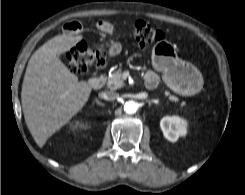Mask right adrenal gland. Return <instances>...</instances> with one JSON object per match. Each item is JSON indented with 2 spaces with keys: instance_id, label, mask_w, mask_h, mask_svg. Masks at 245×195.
<instances>
[{
  "instance_id": "right-adrenal-gland-1",
  "label": "right adrenal gland",
  "mask_w": 245,
  "mask_h": 195,
  "mask_svg": "<svg viewBox=\"0 0 245 195\" xmlns=\"http://www.w3.org/2000/svg\"><path fill=\"white\" fill-rule=\"evenodd\" d=\"M96 103L100 106H104L102 103H100L98 100H96Z\"/></svg>"
}]
</instances>
